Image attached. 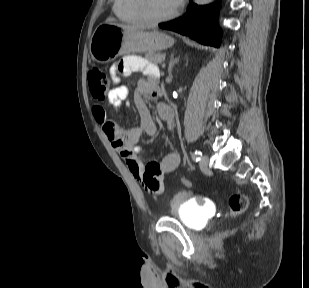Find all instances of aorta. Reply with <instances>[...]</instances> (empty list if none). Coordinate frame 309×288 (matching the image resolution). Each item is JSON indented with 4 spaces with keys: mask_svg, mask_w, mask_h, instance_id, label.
Returning a JSON list of instances; mask_svg holds the SVG:
<instances>
[{
    "mask_svg": "<svg viewBox=\"0 0 309 288\" xmlns=\"http://www.w3.org/2000/svg\"><path fill=\"white\" fill-rule=\"evenodd\" d=\"M194 2L198 5H204L211 2V0H194Z\"/></svg>",
    "mask_w": 309,
    "mask_h": 288,
    "instance_id": "aorta-1",
    "label": "aorta"
}]
</instances>
